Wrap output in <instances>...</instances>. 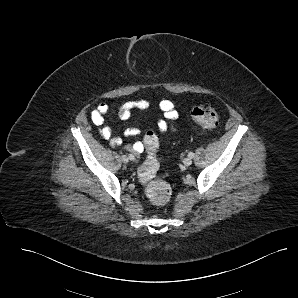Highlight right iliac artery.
<instances>
[{
	"instance_id": "obj_1",
	"label": "right iliac artery",
	"mask_w": 298,
	"mask_h": 298,
	"mask_svg": "<svg viewBox=\"0 0 298 298\" xmlns=\"http://www.w3.org/2000/svg\"><path fill=\"white\" fill-rule=\"evenodd\" d=\"M129 159L133 161L135 160V157L132 154H129Z\"/></svg>"
}]
</instances>
